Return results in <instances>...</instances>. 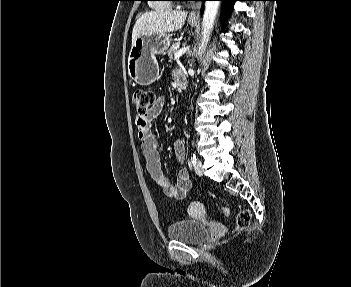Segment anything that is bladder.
<instances>
[{
	"label": "bladder",
	"mask_w": 351,
	"mask_h": 287,
	"mask_svg": "<svg viewBox=\"0 0 351 287\" xmlns=\"http://www.w3.org/2000/svg\"><path fill=\"white\" fill-rule=\"evenodd\" d=\"M209 232L206 222L200 219H180L173 222L167 230L168 238L189 244H198Z\"/></svg>",
	"instance_id": "1"
}]
</instances>
